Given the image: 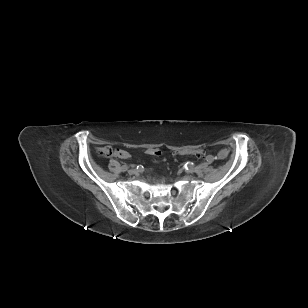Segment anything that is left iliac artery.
I'll list each match as a JSON object with an SVG mask.
<instances>
[{
	"instance_id": "1",
	"label": "left iliac artery",
	"mask_w": 308,
	"mask_h": 308,
	"mask_svg": "<svg viewBox=\"0 0 308 308\" xmlns=\"http://www.w3.org/2000/svg\"><path fill=\"white\" fill-rule=\"evenodd\" d=\"M206 160H207V162H208V163H210V164H211V163H213V162H214V160H215V159H214V157H213V156H211V155H210V156H208V157H207V159H206Z\"/></svg>"
}]
</instances>
